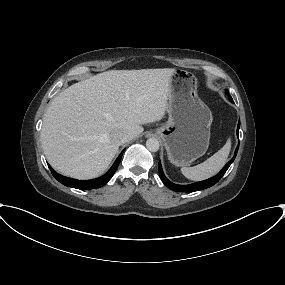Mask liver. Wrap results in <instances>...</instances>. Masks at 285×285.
Returning a JSON list of instances; mask_svg holds the SVG:
<instances>
[{
  "label": "liver",
  "instance_id": "obj_1",
  "mask_svg": "<svg viewBox=\"0 0 285 285\" xmlns=\"http://www.w3.org/2000/svg\"><path fill=\"white\" fill-rule=\"evenodd\" d=\"M175 69L110 70L59 93L43 119L41 142L47 161L76 179L101 175L119 150L112 134L130 141L143 124L164 117Z\"/></svg>",
  "mask_w": 285,
  "mask_h": 285
}]
</instances>
